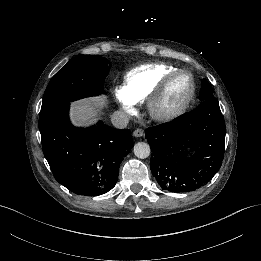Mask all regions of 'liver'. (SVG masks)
Returning <instances> with one entry per match:
<instances>
[{"label":"liver","instance_id":"liver-1","mask_svg":"<svg viewBox=\"0 0 261 261\" xmlns=\"http://www.w3.org/2000/svg\"><path fill=\"white\" fill-rule=\"evenodd\" d=\"M107 105L105 95L90 97L71 103L70 118L75 126H88L96 122L97 108Z\"/></svg>","mask_w":261,"mask_h":261}]
</instances>
